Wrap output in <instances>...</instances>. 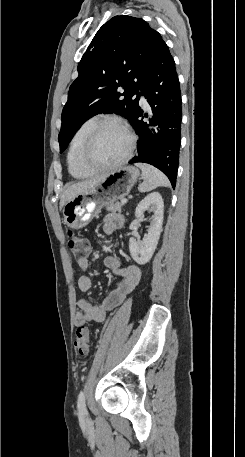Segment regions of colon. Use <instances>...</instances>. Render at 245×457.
Here are the masks:
<instances>
[{
    "label": "colon",
    "instance_id": "1",
    "mask_svg": "<svg viewBox=\"0 0 245 457\" xmlns=\"http://www.w3.org/2000/svg\"><path fill=\"white\" fill-rule=\"evenodd\" d=\"M68 248L78 260L85 259L90 253V245L87 240L75 236L68 231ZM74 346L78 354L86 355L90 347V329L88 326H80L74 334Z\"/></svg>",
    "mask_w": 245,
    "mask_h": 457
}]
</instances>
